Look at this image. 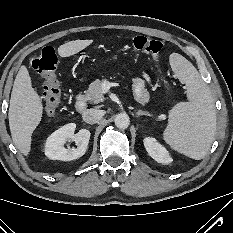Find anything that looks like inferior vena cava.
<instances>
[{"mask_svg":"<svg viewBox=\"0 0 233 233\" xmlns=\"http://www.w3.org/2000/svg\"><path fill=\"white\" fill-rule=\"evenodd\" d=\"M83 120L88 124H96L103 117L102 110L87 109L82 114Z\"/></svg>","mask_w":233,"mask_h":233,"instance_id":"inferior-vena-cava-1","label":"inferior vena cava"}]
</instances>
